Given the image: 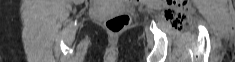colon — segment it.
Masks as SVG:
<instances>
[{
    "instance_id": "obj_1",
    "label": "colon",
    "mask_w": 235,
    "mask_h": 62,
    "mask_svg": "<svg viewBox=\"0 0 235 62\" xmlns=\"http://www.w3.org/2000/svg\"><path fill=\"white\" fill-rule=\"evenodd\" d=\"M130 24V17L128 14H118L108 18L105 21L106 29L113 33L117 34L125 30Z\"/></svg>"
}]
</instances>
